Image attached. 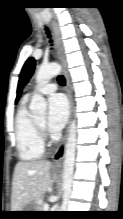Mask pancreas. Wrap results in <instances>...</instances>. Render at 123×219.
Masks as SVG:
<instances>
[{"instance_id": "obj_1", "label": "pancreas", "mask_w": 123, "mask_h": 219, "mask_svg": "<svg viewBox=\"0 0 123 219\" xmlns=\"http://www.w3.org/2000/svg\"><path fill=\"white\" fill-rule=\"evenodd\" d=\"M43 205L44 204L41 202V198L35 200V208H37V211H44Z\"/></svg>"}]
</instances>
